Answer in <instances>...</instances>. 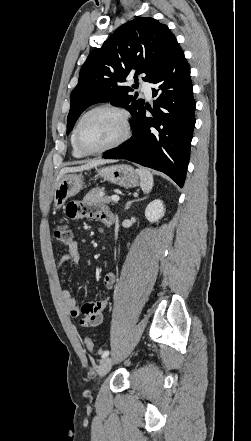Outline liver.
Masks as SVG:
<instances>
[{"label": "liver", "instance_id": "6515ba94", "mask_svg": "<svg viewBox=\"0 0 251 441\" xmlns=\"http://www.w3.org/2000/svg\"><path fill=\"white\" fill-rule=\"evenodd\" d=\"M111 162L112 161H110V160L94 159V160H91V161L87 162L84 165H80V166H76V167H65V168L61 169V171H60V173H59V175L57 177V182L60 180V178L63 175H65L67 173L84 171V170H88V169H91L93 167H97L99 165H103V164H107V163H111Z\"/></svg>", "mask_w": 251, "mask_h": 441}]
</instances>
